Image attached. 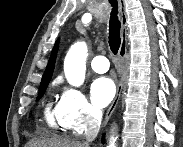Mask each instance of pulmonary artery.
I'll list each match as a JSON object with an SVG mask.
<instances>
[{
  "label": "pulmonary artery",
  "instance_id": "pulmonary-artery-1",
  "mask_svg": "<svg viewBox=\"0 0 183 147\" xmlns=\"http://www.w3.org/2000/svg\"><path fill=\"white\" fill-rule=\"evenodd\" d=\"M91 68L97 73H105L109 69V62L104 56H96L91 61Z\"/></svg>",
  "mask_w": 183,
  "mask_h": 147
}]
</instances>
